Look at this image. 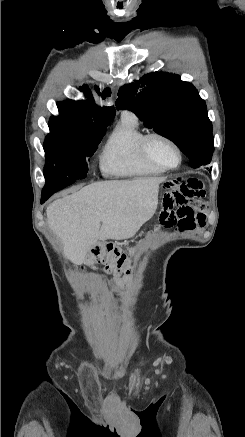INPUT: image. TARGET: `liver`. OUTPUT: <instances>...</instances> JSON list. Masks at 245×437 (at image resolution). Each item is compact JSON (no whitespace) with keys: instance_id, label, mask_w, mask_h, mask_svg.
Here are the masks:
<instances>
[{"instance_id":"obj_1","label":"liver","mask_w":245,"mask_h":437,"mask_svg":"<svg viewBox=\"0 0 245 437\" xmlns=\"http://www.w3.org/2000/svg\"><path fill=\"white\" fill-rule=\"evenodd\" d=\"M163 177L110 180L90 184L52 202L49 227L75 265L84 262L98 240L132 238L155 214Z\"/></svg>"}]
</instances>
